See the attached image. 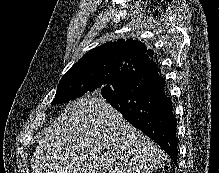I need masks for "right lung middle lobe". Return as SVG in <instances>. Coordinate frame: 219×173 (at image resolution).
<instances>
[{
	"instance_id": "1",
	"label": "right lung middle lobe",
	"mask_w": 219,
	"mask_h": 173,
	"mask_svg": "<svg viewBox=\"0 0 219 173\" xmlns=\"http://www.w3.org/2000/svg\"><path fill=\"white\" fill-rule=\"evenodd\" d=\"M131 71L133 67L129 64L112 61L102 66H86L81 70L68 72L59 82L52 105L66 103L88 91L109 93Z\"/></svg>"
}]
</instances>
